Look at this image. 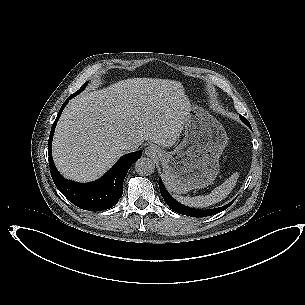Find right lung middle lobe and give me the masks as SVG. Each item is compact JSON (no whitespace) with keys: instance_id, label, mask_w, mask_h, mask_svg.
Segmentation results:
<instances>
[{"instance_id":"dd1d6c3e","label":"right lung middle lobe","mask_w":305,"mask_h":305,"mask_svg":"<svg viewBox=\"0 0 305 305\" xmlns=\"http://www.w3.org/2000/svg\"><path fill=\"white\" fill-rule=\"evenodd\" d=\"M87 83L83 84L80 88V90H78L76 93L72 94V96H76L77 94H79L81 91H83L86 87Z\"/></svg>"}]
</instances>
